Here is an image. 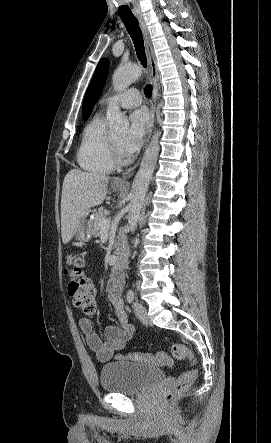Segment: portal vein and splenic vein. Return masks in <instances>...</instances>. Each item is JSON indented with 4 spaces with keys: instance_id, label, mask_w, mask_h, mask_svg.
Masks as SVG:
<instances>
[{
    "instance_id": "1",
    "label": "portal vein and splenic vein",
    "mask_w": 271,
    "mask_h": 443,
    "mask_svg": "<svg viewBox=\"0 0 271 443\" xmlns=\"http://www.w3.org/2000/svg\"><path fill=\"white\" fill-rule=\"evenodd\" d=\"M100 225H102V227H104V229H108V227L110 225V220H100Z\"/></svg>"
}]
</instances>
